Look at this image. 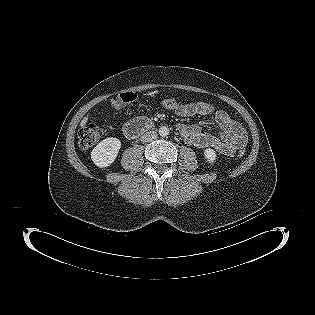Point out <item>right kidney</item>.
<instances>
[{"mask_svg": "<svg viewBox=\"0 0 315 315\" xmlns=\"http://www.w3.org/2000/svg\"><path fill=\"white\" fill-rule=\"evenodd\" d=\"M121 148L119 139L110 137L102 140L91 152V159L99 168L110 166Z\"/></svg>", "mask_w": 315, "mask_h": 315, "instance_id": "1", "label": "right kidney"}]
</instances>
